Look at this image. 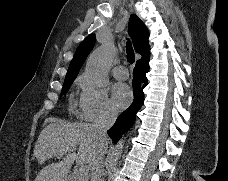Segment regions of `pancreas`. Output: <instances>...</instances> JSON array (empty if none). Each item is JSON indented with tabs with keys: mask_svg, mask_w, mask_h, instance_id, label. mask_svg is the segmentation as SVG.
Returning <instances> with one entry per match:
<instances>
[{
	"mask_svg": "<svg viewBox=\"0 0 228 181\" xmlns=\"http://www.w3.org/2000/svg\"><path fill=\"white\" fill-rule=\"evenodd\" d=\"M81 177H84V179H81ZM89 173L88 175H80L78 169H75L74 173H72V177H70L71 181H88Z\"/></svg>",
	"mask_w": 228,
	"mask_h": 181,
	"instance_id": "pancreas-1",
	"label": "pancreas"
}]
</instances>
